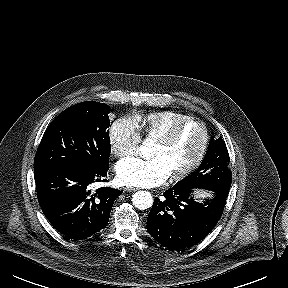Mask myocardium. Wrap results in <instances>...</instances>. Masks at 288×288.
I'll return each mask as SVG.
<instances>
[{"mask_svg":"<svg viewBox=\"0 0 288 288\" xmlns=\"http://www.w3.org/2000/svg\"><path fill=\"white\" fill-rule=\"evenodd\" d=\"M189 123H195L201 127L202 133H203V141H202L201 148L197 156L195 157V159L181 171L171 174V179L175 181L182 180L186 178L187 176H189L195 169H197V167L203 161L206 155V152L208 150L209 141H210V134H209L208 127L205 124V122H203L199 118L189 116L185 119H182L176 122L172 126H170L163 134H161L159 137L155 139L156 142H159L164 145H168L175 139L177 134Z\"/></svg>","mask_w":288,"mask_h":288,"instance_id":"f54148a6","label":"myocardium"}]
</instances>
